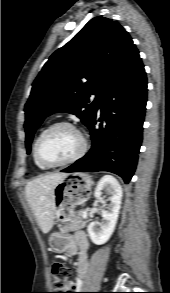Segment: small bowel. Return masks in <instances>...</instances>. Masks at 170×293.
I'll list each match as a JSON object with an SVG mask.
<instances>
[{"label": "small bowel", "instance_id": "obj_1", "mask_svg": "<svg viewBox=\"0 0 170 293\" xmlns=\"http://www.w3.org/2000/svg\"><path fill=\"white\" fill-rule=\"evenodd\" d=\"M88 240L84 233H72L68 235L66 251L69 254H77V273L79 276L85 275L89 270L88 264Z\"/></svg>", "mask_w": 170, "mask_h": 293}]
</instances>
